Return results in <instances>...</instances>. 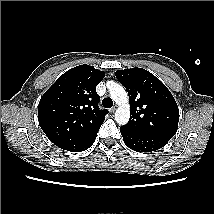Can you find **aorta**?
Masks as SVG:
<instances>
[{
	"label": "aorta",
	"mask_w": 214,
	"mask_h": 214,
	"mask_svg": "<svg viewBox=\"0 0 214 214\" xmlns=\"http://www.w3.org/2000/svg\"><path fill=\"white\" fill-rule=\"evenodd\" d=\"M107 87L110 92L111 99L118 105L115 112V120L119 125H125L130 118V109L128 103V95L124 87L114 81H108Z\"/></svg>",
	"instance_id": "762f6f07"
}]
</instances>
